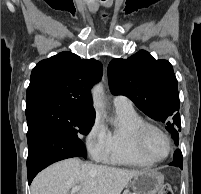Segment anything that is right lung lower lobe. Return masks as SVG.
Instances as JSON below:
<instances>
[{
  "label": "right lung lower lobe",
  "instance_id": "1",
  "mask_svg": "<svg viewBox=\"0 0 201 194\" xmlns=\"http://www.w3.org/2000/svg\"><path fill=\"white\" fill-rule=\"evenodd\" d=\"M27 175L29 185L33 178L48 165L80 156L86 148L82 141L50 123L39 121L28 126Z\"/></svg>",
  "mask_w": 201,
  "mask_h": 194
}]
</instances>
